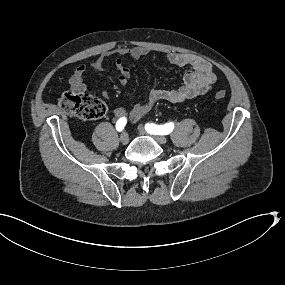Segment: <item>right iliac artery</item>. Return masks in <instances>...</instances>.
Masks as SVG:
<instances>
[{
	"mask_svg": "<svg viewBox=\"0 0 285 285\" xmlns=\"http://www.w3.org/2000/svg\"><path fill=\"white\" fill-rule=\"evenodd\" d=\"M126 123H127V119L125 117L118 119V121L116 123L117 131H119V132L122 131L124 129Z\"/></svg>",
	"mask_w": 285,
	"mask_h": 285,
	"instance_id": "obj_1",
	"label": "right iliac artery"
}]
</instances>
